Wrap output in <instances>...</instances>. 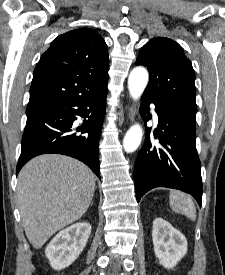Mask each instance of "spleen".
Segmentation results:
<instances>
[{"instance_id":"1","label":"spleen","mask_w":225,"mask_h":275,"mask_svg":"<svg viewBox=\"0 0 225 275\" xmlns=\"http://www.w3.org/2000/svg\"><path fill=\"white\" fill-rule=\"evenodd\" d=\"M169 202L175 213L183 214L191 220H196V207L188 195L173 190L170 192Z\"/></svg>"}]
</instances>
